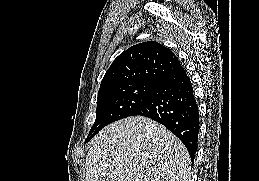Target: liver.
<instances>
[{"label": "liver", "mask_w": 259, "mask_h": 181, "mask_svg": "<svg viewBox=\"0 0 259 181\" xmlns=\"http://www.w3.org/2000/svg\"><path fill=\"white\" fill-rule=\"evenodd\" d=\"M85 181H191L184 144L161 124L128 117L102 129L85 159Z\"/></svg>", "instance_id": "6515ba94"}]
</instances>
